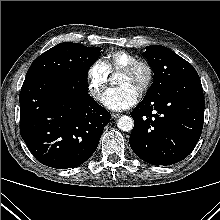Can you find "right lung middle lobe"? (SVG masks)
<instances>
[{"instance_id":"right-lung-middle-lobe-1","label":"right lung middle lobe","mask_w":220,"mask_h":220,"mask_svg":"<svg viewBox=\"0 0 220 220\" xmlns=\"http://www.w3.org/2000/svg\"><path fill=\"white\" fill-rule=\"evenodd\" d=\"M100 51L99 47H86L71 42L60 43L37 57L31 64L26 77L46 74L87 77V72L99 58Z\"/></svg>"}]
</instances>
